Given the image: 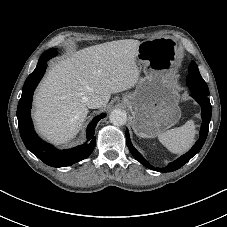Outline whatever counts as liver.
Wrapping results in <instances>:
<instances>
[{
	"label": "liver",
	"mask_w": 227,
	"mask_h": 227,
	"mask_svg": "<svg viewBox=\"0 0 227 227\" xmlns=\"http://www.w3.org/2000/svg\"><path fill=\"white\" fill-rule=\"evenodd\" d=\"M141 42L124 39L90 46L54 65L34 97L38 132L55 144L73 139L88 114L87 99L100 96L105 106L111 94L140 80L136 55Z\"/></svg>",
	"instance_id": "obj_1"
}]
</instances>
